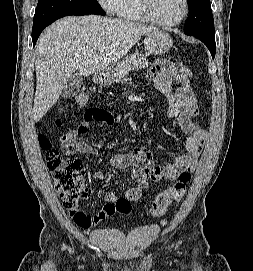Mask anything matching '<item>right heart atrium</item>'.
<instances>
[{"instance_id": "1", "label": "right heart atrium", "mask_w": 253, "mask_h": 271, "mask_svg": "<svg viewBox=\"0 0 253 271\" xmlns=\"http://www.w3.org/2000/svg\"><path fill=\"white\" fill-rule=\"evenodd\" d=\"M121 0H98L100 5L108 12V13H116V10L120 4Z\"/></svg>"}]
</instances>
